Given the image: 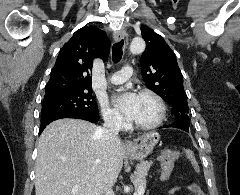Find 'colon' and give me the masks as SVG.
Returning <instances> with one entry per match:
<instances>
[{
  "label": "colon",
  "instance_id": "colon-1",
  "mask_svg": "<svg viewBox=\"0 0 240 195\" xmlns=\"http://www.w3.org/2000/svg\"><path fill=\"white\" fill-rule=\"evenodd\" d=\"M186 158L189 159L194 169L198 168V163L194 154H187ZM173 160H177V150H164L162 151V167L165 170L162 171V179L166 180L167 176L173 173ZM195 195H204V193L199 189V187H194Z\"/></svg>",
  "mask_w": 240,
  "mask_h": 195
}]
</instances>
